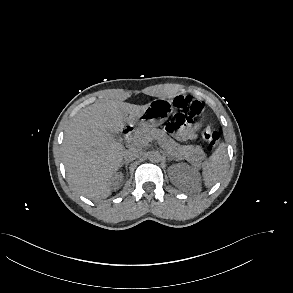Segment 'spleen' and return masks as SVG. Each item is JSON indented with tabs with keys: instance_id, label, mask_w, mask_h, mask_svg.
Returning a JSON list of instances; mask_svg holds the SVG:
<instances>
[{
	"instance_id": "spleen-1",
	"label": "spleen",
	"mask_w": 293,
	"mask_h": 293,
	"mask_svg": "<svg viewBox=\"0 0 293 293\" xmlns=\"http://www.w3.org/2000/svg\"><path fill=\"white\" fill-rule=\"evenodd\" d=\"M227 149L224 143H220L203 165V181L206 187L213 186L226 170Z\"/></svg>"
}]
</instances>
